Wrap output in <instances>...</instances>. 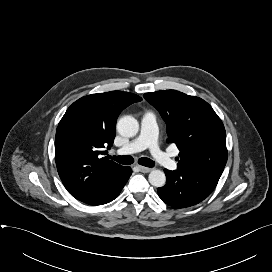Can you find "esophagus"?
<instances>
[{"instance_id": "obj_1", "label": "esophagus", "mask_w": 272, "mask_h": 272, "mask_svg": "<svg viewBox=\"0 0 272 272\" xmlns=\"http://www.w3.org/2000/svg\"><path fill=\"white\" fill-rule=\"evenodd\" d=\"M139 170L143 173H148L153 170V168L144 167V166H138Z\"/></svg>"}]
</instances>
